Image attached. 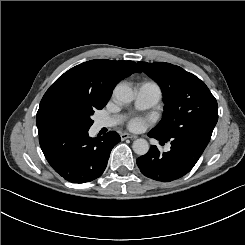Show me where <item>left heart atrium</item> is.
Masks as SVG:
<instances>
[{
	"label": "left heart atrium",
	"mask_w": 245,
	"mask_h": 245,
	"mask_svg": "<svg viewBox=\"0 0 245 245\" xmlns=\"http://www.w3.org/2000/svg\"><path fill=\"white\" fill-rule=\"evenodd\" d=\"M130 126L133 129H141L144 126V121L142 119L136 118L130 122Z\"/></svg>",
	"instance_id": "1"
}]
</instances>
